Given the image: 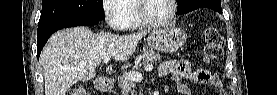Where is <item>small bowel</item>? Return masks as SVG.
Wrapping results in <instances>:
<instances>
[{
	"instance_id": "c3829d8e",
	"label": "small bowel",
	"mask_w": 277,
	"mask_h": 95,
	"mask_svg": "<svg viewBox=\"0 0 277 95\" xmlns=\"http://www.w3.org/2000/svg\"><path fill=\"white\" fill-rule=\"evenodd\" d=\"M161 77L171 75L177 85L178 92L188 95L189 89L181 83L183 79H189L196 83L209 84L219 88V94H225L221 79L204 69L192 70L191 64L186 59H171L161 63L158 67Z\"/></svg>"
}]
</instances>
